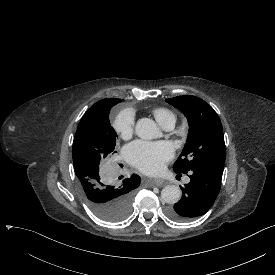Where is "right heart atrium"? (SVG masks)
<instances>
[{
    "label": "right heart atrium",
    "instance_id": "right-heart-atrium-1",
    "mask_svg": "<svg viewBox=\"0 0 275 275\" xmlns=\"http://www.w3.org/2000/svg\"><path fill=\"white\" fill-rule=\"evenodd\" d=\"M134 119L130 113H123L116 117L113 122V128L116 134L126 140L131 137L133 133Z\"/></svg>",
    "mask_w": 275,
    "mask_h": 275
}]
</instances>
